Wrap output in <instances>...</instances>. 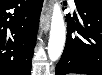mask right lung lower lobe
<instances>
[{
  "mask_svg": "<svg viewBox=\"0 0 102 75\" xmlns=\"http://www.w3.org/2000/svg\"><path fill=\"white\" fill-rule=\"evenodd\" d=\"M42 5L43 0H0V75H30Z\"/></svg>",
  "mask_w": 102,
  "mask_h": 75,
  "instance_id": "98d812e1",
  "label": "right lung lower lobe"
}]
</instances>
